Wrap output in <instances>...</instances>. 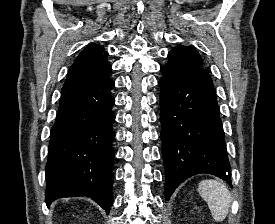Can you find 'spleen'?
Listing matches in <instances>:
<instances>
[{
  "label": "spleen",
  "mask_w": 275,
  "mask_h": 224,
  "mask_svg": "<svg viewBox=\"0 0 275 224\" xmlns=\"http://www.w3.org/2000/svg\"><path fill=\"white\" fill-rule=\"evenodd\" d=\"M198 192L207 202L213 219L223 221L228 215L232 201L231 193L226 185L217 180H204L199 183Z\"/></svg>",
  "instance_id": "1"
}]
</instances>
